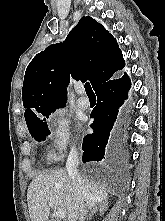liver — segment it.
Here are the masks:
<instances>
[{
	"label": "liver",
	"mask_w": 165,
	"mask_h": 221,
	"mask_svg": "<svg viewBox=\"0 0 165 221\" xmlns=\"http://www.w3.org/2000/svg\"><path fill=\"white\" fill-rule=\"evenodd\" d=\"M90 197L85 198L86 209L108 199L104 186L82 178ZM81 196L77 193L73 181L63 170H53L37 175L30 183L27 191L28 209L31 221H49V201L57 208L65 211V221H77L80 216Z\"/></svg>",
	"instance_id": "liver-1"
}]
</instances>
